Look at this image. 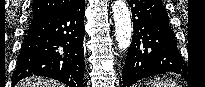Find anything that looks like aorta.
Instances as JSON below:
<instances>
[{
    "label": "aorta",
    "mask_w": 205,
    "mask_h": 87,
    "mask_svg": "<svg viewBox=\"0 0 205 87\" xmlns=\"http://www.w3.org/2000/svg\"><path fill=\"white\" fill-rule=\"evenodd\" d=\"M113 17L118 48L125 51L131 44L132 36L130 11L125 0H114Z\"/></svg>",
    "instance_id": "1"
}]
</instances>
